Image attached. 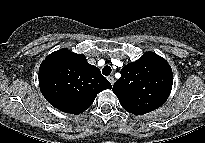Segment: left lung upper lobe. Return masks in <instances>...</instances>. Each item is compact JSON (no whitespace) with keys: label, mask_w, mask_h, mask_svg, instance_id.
Here are the masks:
<instances>
[{"label":"left lung upper lobe","mask_w":205,"mask_h":143,"mask_svg":"<svg viewBox=\"0 0 205 143\" xmlns=\"http://www.w3.org/2000/svg\"><path fill=\"white\" fill-rule=\"evenodd\" d=\"M112 90L122 107L135 115H142L160 107L169 97L173 73L168 62L153 52L121 69Z\"/></svg>","instance_id":"5c2ea615"}]
</instances>
